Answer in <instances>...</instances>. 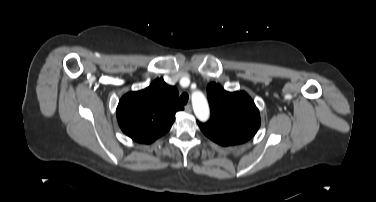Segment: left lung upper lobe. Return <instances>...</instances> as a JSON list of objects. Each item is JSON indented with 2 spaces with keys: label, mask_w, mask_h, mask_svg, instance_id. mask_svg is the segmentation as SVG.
Returning <instances> with one entry per match:
<instances>
[{
  "label": "left lung upper lobe",
  "mask_w": 376,
  "mask_h": 202,
  "mask_svg": "<svg viewBox=\"0 0 376 202\" xmlns=\"http://www.w3.org/2000/svg\"><path fill=\"white\" fill-rule=\"evenodd\" d=\"M207 94L211 118L206 123L198 121L207 137L228 146L244 143L255 135L260 126V115L246 92H227L219 84L210 83Z\"/></svg>",
  "instance_id": "left-lung-upper-lobe-1"
}]
</instances>
